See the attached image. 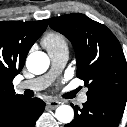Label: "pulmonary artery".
Returning a JSON list of instances; mask_svg holds the SVG:
<instances>
[{"label": "pulmonary artery", "mask_w": 127, "mask_h": 127, "mask_svg": "<svg viewBox=\"0 0 127 127\" xmlns=\"http://www.w3.org/2000/svg\"><path fill=\"white\" fill-rule=\"evenodd\" d=\"M52 63L51 71L43 76L23 81L18 84L19 89H30L34 91H39L47 88L55 76L63 69L68 60V50L62 49L56 52L49 53ZM87 101V94L83 92L79 95V102L85 103Z\"/></svg>", "instance_id": "e3ab8cb5"}]
</instances>
